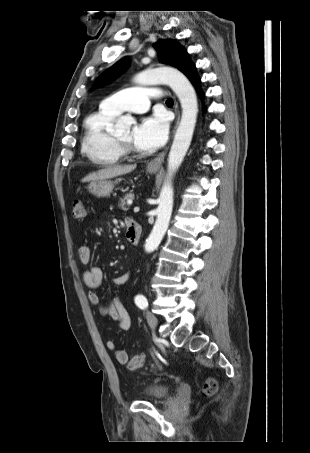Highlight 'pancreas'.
Returning <instances> with one entry per match:
<instances>
[{
  "label": "pancreas",
  "mask_w": 310,
  "mask_h": 453,
  "mask_svg": "<svg viewBox=\"0 0 310 453\" xmlns=\"http://www.w3.org/2000/svg\"><path fill=\"white\" fill-rule=\"evenodd\" d=\"M134 199V194L129 193L126 194L123 198L120 199L118 206L121 208L123 211L129 210L130 206L128 205L127 201L128 200H133Z\"/></svg>",
  "instance_id": "cf45deb5"
}]
</instances>
